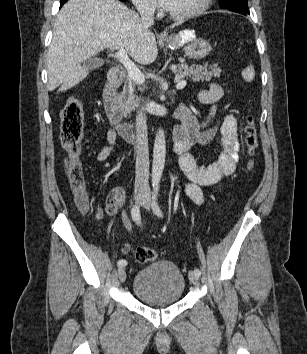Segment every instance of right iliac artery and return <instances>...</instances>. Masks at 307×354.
I'll use <instances>...</instances> for the list:
<instances>
[{
    "instance_id": "1",
    "label": "right iliac artery",
    "mask_w": 307,
    "mask_h": 354,
    "mask_svg": "<svg viewBox=\"0 0 307 354\" xmlns=\"http://www.w3.org/2000/svg\"><path fill=\"white\" fill-rule=\"evenodd\" d=\"M131 215H132V219L137 223L140 224V209L139 206L135 205L132 210H131ZM117 265L119 267H123L127 265V261L125 259H120L117 262Z\"/></svg>"
}]
</instances>
